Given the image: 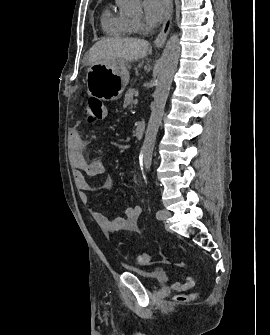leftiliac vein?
<instances>
[{
  "label": "left iliac vein",
  "mask_w": 270,
  "mask_h": 335,
  "mask_svg": "<svg viewBox=\"0 0 270 335\" xmlns=\"http://www.w3.org/2000/svg\"><path fill=\"white\" fill-rule=\"evenodd\" d=\"M162 211V214H161V216L159 217V219L160 220H162V221H166L169 217H170V212L169 211H167V210H165V209H163V210H161Z\"/></svg>",
  "instance_id": "left-iliac-vein-1"
}]
</instances>
